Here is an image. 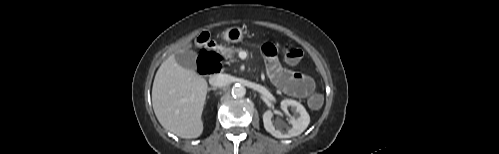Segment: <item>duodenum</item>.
<instances>
[{
	"label": "duodenum",
	"instance_id": "obj_1",
	"mask_svg": "<svg viewBox=\"0 0 499 154\" xmlns=\"http://www.w3.org/2000/svg\"><path fill=\"white\" fill-rule=\"evenodd\" d=\"M209 57L202 56L198 59L197 61V66H198V71L202 74H216L219 71H214L213 69L209 68L207 65Z\"/></svg>",
	"mask_w": 499,
	"mask_h": 154
}]
</instances>
